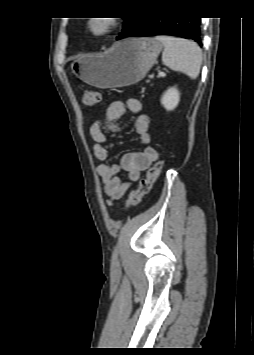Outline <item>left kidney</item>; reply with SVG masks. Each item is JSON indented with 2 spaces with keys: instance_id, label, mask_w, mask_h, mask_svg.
I'll return each mask as SVG.
<instances>
[{
  "instance_id": "1",
  "label": "left kidney",
  "mask_w": 254,
  "mask_h": 355,
  "mask_svg": "<svg viewBox=\"0 0 254 355\" xmlns=\"http://www.w3.org/2000/svg\"><path fill=\"white\" fill-rule=\"evenodd\" d=\"M180 101V93L176 87H170L162 96L161 103L168 111L176 108Z\"/></svg>"
}]
</instances>
